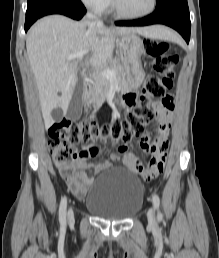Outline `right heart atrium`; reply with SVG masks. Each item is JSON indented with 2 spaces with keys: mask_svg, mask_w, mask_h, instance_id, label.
I'll list each match as a JSON object with an SVG mask.
<instances>
[{
  "mask_svg": "<svg viewBox=\"0 0 219 258\" xmlns=\"http://www.w3.org/2000/svg\"><path fill=\"white\" fill-rule=\"evenodd\" d=\"M81 2L97 13L104 11L110 4V0H81Z\"/></svg>",
  "mask_w": 219,
  "mask_h": 258,
  "instance_id": "obj_1",
  "label": "right heart atrium"
}]
</instances>
